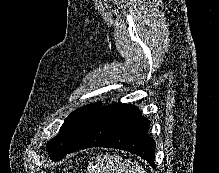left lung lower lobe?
Returning <instances> with one entry per match:
<instances>
[{"label":"left lung lower lobe","instance_id":"left-lung-lower-lobe-1","mask_svg":"<svg viewBox=\"0 0 219 173\" xmlns=\"http://www.w3.org/2000/svg\"><path fill=\"white\" fill-rule=\"evenodd\" d=\"M149 120L131 104L113 103L101 107L86 125L76 141L56 161L67 153L89 147H109L135 153L153 168L155 142L147 134Z\"/></svg>","mask_w":219,"mask_h":173}]
</instances>
